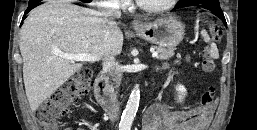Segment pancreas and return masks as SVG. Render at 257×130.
Instances as JSON below:
<instances>
[{
  "instance_id": "cf45deb5",
  "label": "pancreas",
  "mask_w": 257,
  "mask_h": 130,
  "mask_svg": "<svg viewBox=\"0 0 257 130\" xmlns=\"http://www.w3.org/2000/svg\"><path fill=\"white\" fill-rule=\"evenodd\" d=\"M154 49L158 52L157 58L160 60H168L174 55L173 48H164L161 46H155Z\"/></svg>"
}]
</instances>
